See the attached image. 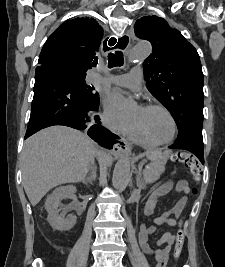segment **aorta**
Segmentation results:
<instances>
[{
    "label": "aorta",
    "instance_id": "762f6f07",
    "mask_svg": "<svg viewBox=\"0 0 225 267\" xmlns=\"http://www.w3.org/2000/svg\"><path fill=\"white\" fill-rule=\"evenodd\" d=\"M151 52V45L149 43H139L133 47L129 61L131 63L140 62L144 60ZM113 101L120 107L127 105L128 101L117 91L114 90L111 94ZM130 178V161L128 158H121L115 165L112 185L115 190L123 191Z\"/></svg>",
    "mask_w": 225,
    "mask_h": 267
}]
</instances>
